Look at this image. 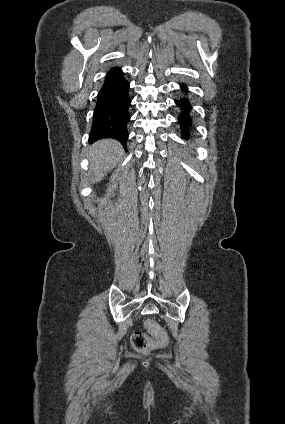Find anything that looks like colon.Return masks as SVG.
<instances>
[{
	"mask_svg": "<svg viewBox=\"0 0 285 424\" xmlns=\"http://www.w3.org/2000/svg\"><path fill=\"white\" fill-rule=\"evenodd\" d=\"M145 325L151 336L138 331L131 338L133 347L140 353H148L153 349L162 347L167 341L165 330L157 322L147 320Z\"/></svg>",
	"mask_w": 285,
	"mask_h": 424,
	"instance_id": "colon-1",
	"label": "colon"
}]
</instances>
